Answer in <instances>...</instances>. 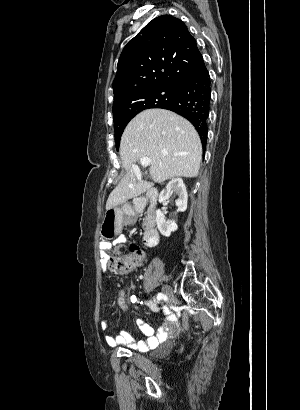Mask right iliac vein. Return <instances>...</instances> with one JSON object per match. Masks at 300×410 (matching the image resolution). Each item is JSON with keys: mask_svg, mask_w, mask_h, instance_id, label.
<instances>
[{"mask_svg": "<svg viewBox=\"0 0 300 410\" xmlns=\"http://www.w3.org/2000/svg\"><path fill=\"white\" fill-rule=\"evenodd\" d=\"M162 290L166 296L170 297L172 295V289L170 288V286L165 285L163 286Z\"/></svg>", "mask_w": 300, "mask_h": 410, "instance_id": "obj_1", "label": "right iliac vein"}]
</instances>
